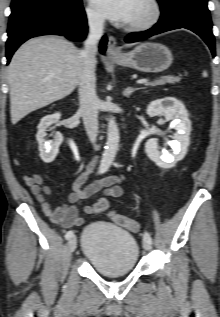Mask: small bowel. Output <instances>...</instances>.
<instances>
[{
	"instance_id": "small-bowel-1",
	"label": "small bowel",
	"mask_w": 220,
	"mask_h": 317,
	"mask_svg": "<svg viewBox=\"0 0 220 317\" xmlns=\"http://www.w3.org/2000/svg\"><path fill=\"white\" fill-rule=\"evenodd\" d=\"M93 170L94 164H90L84 172L75 178L72 183V192L68 197L69 202L56 208H52L47 202L45 195H49L51 190L48 186L44 185L43 178L39 174L24 176L23 179L41 204L44 214L53 223L63 228H69L83 224L84 219L80 216L78 208L83 200L90 198L99 191H103V196L99 200L93 205H87L83 208L86 214H95L103 212L106 209V199L108 197L115 198L123 194V188L117 176H109L84 186Z\"/></svg>"
}]
</instances>
